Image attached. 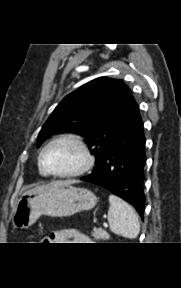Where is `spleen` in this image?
Masks as SVG:
<instances>
[{"instance_id": "obj_1", "label": "spleen", "mask_w": 181, "mask_h": 288, "mask_svg": "<svg viewBox=\"0 0 181 288\" xmlns=\"http://www.w3.org/2000/svg\"><path fill=\"white\" fill-rule=\"evenodd\" d=\"M108 222L110 230L126 238L134 239L140 232V224L135 210L115 195L109 196Z\"/></svg>"}]
</instances>
